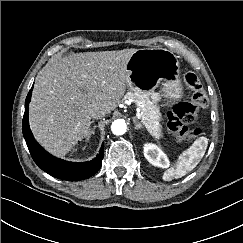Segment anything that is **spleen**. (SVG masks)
<instances>
[{
    "label": "spleen",
    "mask_w": 243,
    "mask_h": 243,
    "mask_svg": "<svg viewBox=\"0 0 243 243\" xmlns=\"http://www.w3.org/2000/svg\"><path fill=\"white\" fill-rule=\"evenodd\" d=\"M207 145L206 137L196 139L187 150L180 154L175 166L164 172L163 180L171 181L173 178H180L193 170L203 158Z\"/></svg>",
    "instance_id": "1"
}]
</instances>
